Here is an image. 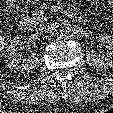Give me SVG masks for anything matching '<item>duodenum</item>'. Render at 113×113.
Wrapping results in <instances>:
<instances>
[{"instance_id":"410a0bca","label":"duodenum","mask_w":113,"mask_h":113,"mask_svg":"<svg viewBox=\"0 0 113 113\" xmlns=\"http://www.w3.org/2000/svg\"><path fill=\"white\" fill-rule=\"evenodd\" d=\"M63 16L69 20H74L76 22H83V18L75 13L71 9H65ZM31 25V19L29 16H23L20 20L19 27L21 30H28Z\"/></svg>"}]
</instances>
